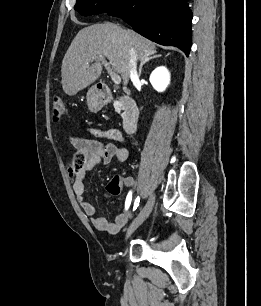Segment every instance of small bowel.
I'll list each match as a JSON object with an SVG mask.
<instances>
[{
  "instance_id": "1",
  "label": "small bowel",
  "mask_w": 261,
  "mask_h": 306,
  "mask_svg": "<svg viewBox=\"0 0 261 306\" xmlns=\"http://www.w3.org/2000/svg\"><path fill=\"white\" fill-rule=\"evenodd\" d=\"M107 135L117 140L120 139V135L116 132H110ZM71 141L75 148V153L83 151L86 154L85 162L81 167L76 166L74 158L72 157L69 168L70 176L73 181V190L79 204L97 230L108 234H116L132 216L130 205L128 208L125 206L124 211L117 214L113 221H108L102 216H97L94 205L85 199V181L88 172L100 163L107 164L112 159H115L118 162H124L128 158V149L122 145L114 143L104 144L97 140L87 139L80 136H73ZM133 185L134 179L132 177H114L107 186V192L110 195H116L119 194L124 187L131 188Z\"/></svg>"
}]
</instances>
